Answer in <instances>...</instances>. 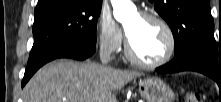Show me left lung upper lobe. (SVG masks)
Here are the masks:
<instances>
[{
    "label": "left lung upper lobe",
    "instance_id": "obj_1",
    "mask_svg": "<svg viewBox=\"0 0 221 102\" xmlns=\"http://www.w3.org/2000/svg\"><path fill=\"white\" fill-rule=\"evenodd\" d=\"M156 11L169 24L175 41V55L199 51L221 64L214 38V22L209 0H150Z\"/></svg>",
    "mask_w": 221,
    "mask_h": 102
}]
</instances>
